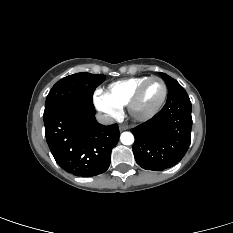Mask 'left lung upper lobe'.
Instances as JSON below:
<instances>
[{
    "label": "left lung upper lobe",
    "instance_id": "obj_1",
    "mask_svg": "<svg viewBox=\"0 0 233 233\" xmlns=\"http://www.w3.org/2000/svg\"><path fill=\"white\" fill-rule=\"evenodd\" d=\"M163 80L165 81L167 88H168V96L179 91L184 90L183 87L172 77L168 76L165 73L159 72Z\"/></svg>",
    "mask_w": 233,
    "mask_h": 233
}]
</instances>
